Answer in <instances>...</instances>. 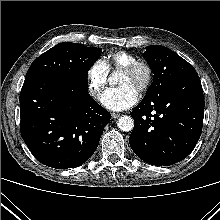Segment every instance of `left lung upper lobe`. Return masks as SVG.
<instances>
[{
	"label": "left lung upper lobe",
	"instance_id": "1",
	"mask_svg": "<svg viewBox=\"0 0 220 220\" xmlns=\"http://www.w3.org/2000/svg\"><path fill=\"white\" fill-rule=\"evenodd\" d=\"M144 56L154 76L153 82L143 99H148L167 90L179 79L198 75L191 64L164 46H147Z\"/></svg>",
	"mask_w": 220,
	"mask_h": 220
}]
</instances>
